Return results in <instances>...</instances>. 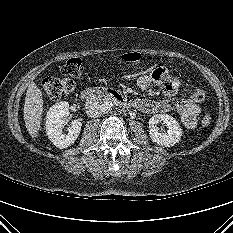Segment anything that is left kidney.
<instances>
[{"instance_id":"left-kidney-1","label":"left kidney","mask_w":233,"mask_h":233,"mask_svg":"<svg viewBox=\"0 0 233 233\" xmlns=\"http://www.w3.org/2000/svg\"><path fill=\"white\" fill-rule=\"evenodd\" d=\"M163 122L168 128L167 133H160L157 124ZM149 135L153 142L170 147L178 143L182 136V129L178 122L168 114H155L149 120Z\"/></svg>"}]
</instances>
